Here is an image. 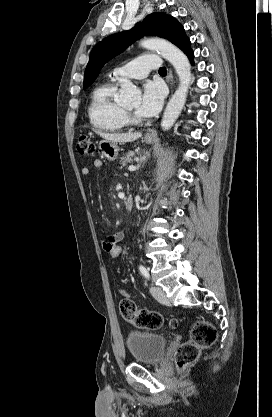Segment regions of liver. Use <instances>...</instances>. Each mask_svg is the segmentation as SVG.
<instances>
[{
    "instance_id": "liver-1",
    "label": "liver",
    "mask_w": 272,
    "mask_h": 417,
    "mask_svg": "<svg viewBox=\"0 0 272 417\" xmlns=\"http://www.w3.org/2000/svg\"><path fill=\"white\" fill-rule=\"evenodd\" d=\"M98 135H100V137H102L103 139L107 140V141H112V142H121V143H126V142H132L135 141L137 139H139L142 136L141 132H136V133H105L99 130H94Z\"/></svg>"
}]
</instances>
